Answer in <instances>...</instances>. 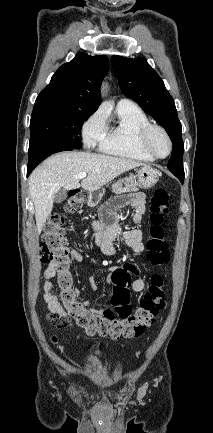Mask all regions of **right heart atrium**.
<instances>
[{"mask_svg": "<svg viewBox=\"0 0 213 433\" xmlns=\"http://www.w3.org/2000/svg\"><path fill=\"white\" fill-rule=\"evenodd\" d=\"M105 131L106 116L101 109H98L83 123L82 137L84 144L89 148L95 147L102 140Z\"/></svg>", "mask_w": 213, "mask_h": 433, "instance_id": "1", "label": "right heart atrium"}]
</instances>
